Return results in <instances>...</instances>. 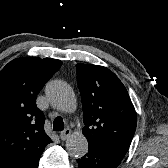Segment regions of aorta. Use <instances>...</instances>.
<instances>
[{"label": "aorta", "mask_w": 168, "mask_h": 168, "mask_svg": "<svg viewBox=\"0 0 168 168\" xmlns=\"http://www.w3.org/2000/svg\"><path fill=\"white\" fill-rule=\"evenodd\" d=\"M45 92L50 104L55 108L66 113L76 109L75 93L67 83L60 80L51 81ZM66 149L70 156L80 158L88 151V141L82 133H74L67 139Z\"/></svg>", "instance_id": "1"}]
</instances>
